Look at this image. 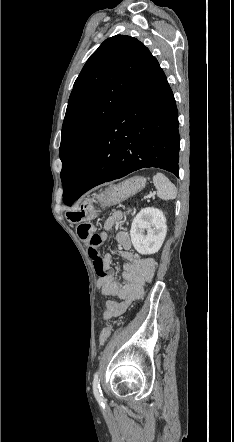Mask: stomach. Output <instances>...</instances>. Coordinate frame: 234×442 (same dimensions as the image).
Wrapping results in <instances>:
<instances>
[{"mask_svg":"<svg viewBox=\"0 0 234 442\" xmlns=\"http://www.w3.org/2000/svg\"><path fill=\"white\" fill-rule=\"evenodd\" d=\"M145 185L146 179L141 176H134L119 184L111 185L94 197L84 199L75 210L67 212V220L73 224L92 220L100 212L96 205L105 208L118 204L137 194Z\"/></svg>","mask_w":234,"mask_h":442,"instance_id":"1","label":"stomach"}]
</instances>
